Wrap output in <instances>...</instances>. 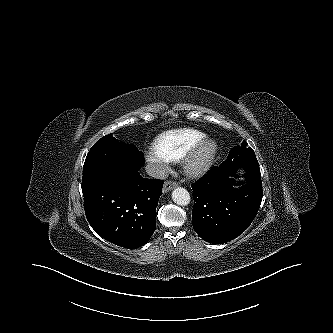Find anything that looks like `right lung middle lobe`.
I'll list each match as a JSON object with an SVG mask.
<instances>
[{
	"mask_svg": "<svg viewBox=\"0 0 333 333\" xmlns=\"http://www.w3.org/2000/svg\"><path fill=\"white\" fill-rule=\"evenodd\" d=\"M144 163V155L134 145H125L108 134L90 149L83 167L82 182L108 173L138 170Z\"/></svg>",
	"mask_w": 333,
	"mask_h": 333,
	"instance_id": "obj_1",
	"label": "right lung middle lobe"
}]
</instances>
